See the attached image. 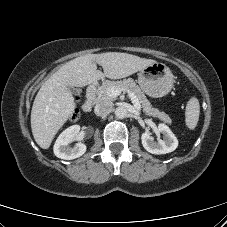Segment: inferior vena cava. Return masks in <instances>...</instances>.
Returning a JSON list of instances; mask_svg holds the SVG:
<instances>
[{"label": "inferior vena cava", "mask_w": 227, "mask_h": 227, "mask_svg": "<svg viewBox=\"0 0 227 227\" xmlns=\"http://www.w3.org/2000/svg\"><path fill=\"white\" fill-rule=\"evenodd\" d=\"M112 106L111 101H101L95 106L94 112L97 116H104L111 110Z\"/></svg>", "instance_id": "inferior-vena-cava-1"}]
</instances>
